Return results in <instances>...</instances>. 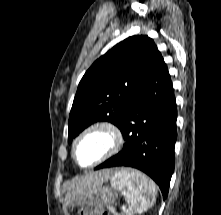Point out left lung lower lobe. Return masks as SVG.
Wrapping results in <instances>:
<instances>
[{
  "label": "left lung lower lobe",
  "instance_id": "left-lung-lower-lobe-1",
  "mask_svg": "<svg viewBox=\"0 0 221 215\" xmlns=\"http://www.w3.org/2000/svg\"><path fill=\"white\" fill-rule=\"evenodd\" d=\"M177 108L172 82L161 54L123 110L119 128L124 148L95 169L128 166L150 176L164 199L174 172Z\"/></svg>",
  "mask_w": 221,
  "mask_h": 215
}]
</instances>
